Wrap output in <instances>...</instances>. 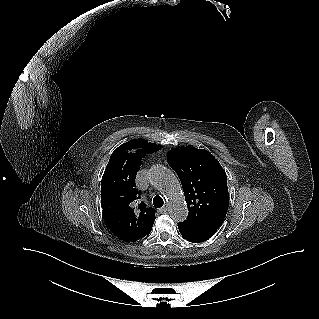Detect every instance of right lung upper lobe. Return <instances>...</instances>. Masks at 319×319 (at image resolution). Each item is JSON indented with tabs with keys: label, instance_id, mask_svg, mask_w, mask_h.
Returning a JSON list of instances; mask_svg holds the SVG:
<instances>
[{
	"label": "right lung upper lobe",
	"instance_id": "cb5924a9",
	"mask_svg": "<svg viewBox=\"0 0 319 319\" xmlns=\"http://www.w3.org/2000/svg\"><path fill=\"white\" fill-rule=\"evenodd\" d=\"M161 145L131 140L111 155L101 182V205L111 231L125 242H135L151 232L155 210L141 202L135 177L146 154Z\"/></svg>",
	"mask_w": 319,
	"mask_h": 319
}]
</instances>
